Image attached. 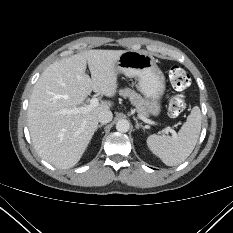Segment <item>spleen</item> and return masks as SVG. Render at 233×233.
I'll return each mask as SVG.
<instances>
[{
    "label": "spleen",
    "mask_w": 233,
    "mask_h": 233,
    "mask_svg": "<svg viewBox=\"0 0 233 233\" xmlns=\"http://www.w3.org/2000/svg\"><path fill=\"white\" fill-rule=\"evenodd\" d=\"M201 121L200 108L195 106L177 134L150 135L147 138V145L166 165H179L192 153L200 134Z\"/></svg>",
    "instance_id": "spleen-1"
}]
</instances>
